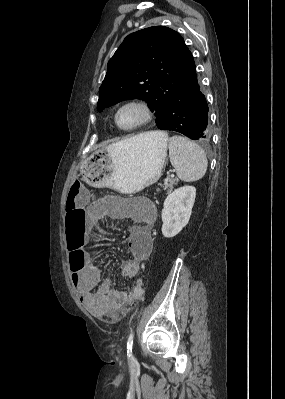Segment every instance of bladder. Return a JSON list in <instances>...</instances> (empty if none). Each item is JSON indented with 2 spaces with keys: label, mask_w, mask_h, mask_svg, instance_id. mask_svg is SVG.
<instances>
[{
  "label": "bladder",
  "mask_w": 285,
  "mask_h": 399,
  "mask_svg": "<svg viewBox=\"0 0 285 399\" xmlns=\"http://www.w3.org/2000/svg\"><path fill=\"white\" fill-rule=\"evenodd\" d=\"M139 201H140V203H141L142 205L146 206V208H147L150 212L155 211L154 203H153L150 199L145 198V197H142L141 199H139Z\"/></svg>",
  "instance_id": "bladder-1"
}]
</instances>
